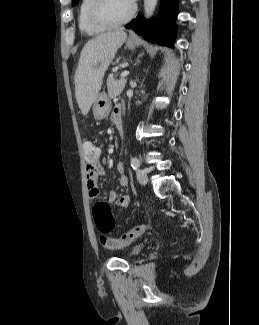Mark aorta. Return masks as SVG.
<instances>
[{
	"label": "aorta",
	"mask_w": 259,
	"mask_h": 325,
	"mask_svg": "<svg viewBox=\"0 0 259 325\" xmlns=\"http://www.w3.org/2000/svg\"><path fill=\"white\" fill-rule=\"evenodd\" d=\"M158 0H144V12H145V17L150 18L156 8Z\"/></svg>",
	"instance_id": "aorta-1"
}]
</instances>
